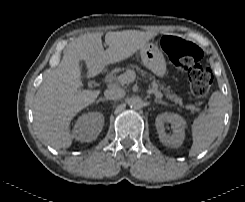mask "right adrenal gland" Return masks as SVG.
Here are the masks:
<instances>
[{
	"mask_svg": "<svg viewBox=\"0 0 245 202\" xmlns=\"http://www.w3.org/2000/svg\"><path fill=\"white\" fill-rule=\"evenodd\" d=\"M107 101H108V99L100 98L99 100H97V103H99V102H107Z\"/></svg>",
	"mask_w": 245,
	"mask_h": 202,
	"instance_id": "2a0ac1e0",
	"label": "right adrenal gland"
}]
</instances>
